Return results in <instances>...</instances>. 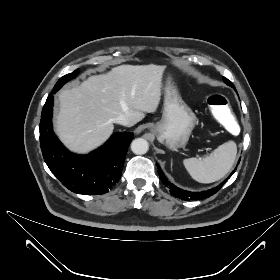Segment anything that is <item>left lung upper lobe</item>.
I'll list each match as a JSON object with an SVG mask.
<instances>
[{"label":"left lung upper lobe","mask_w":280,"mask_h":280,"mask_svg":"<svg viewBox=\"0 0 280 280\" xmlns=\"http://www.w3.org/2000/svg\"><path fill=\"white\" fill-rule=\"evenodd\" d=\"M223 81H224L227 85H229V86H231V87H234L233 83L230 82L227 78L223 77Z\"/></svg>","instance_id":"1"}]
</instances>
